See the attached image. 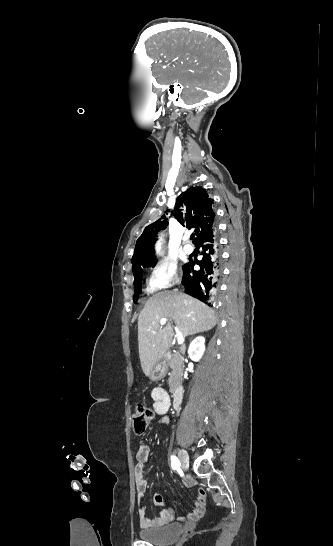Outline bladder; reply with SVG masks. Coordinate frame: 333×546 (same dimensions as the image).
Segmentation results:
<instances>
[{
  "label": "bladder",
  "instance_id": "31cf9c89",
  "mask_svg": "<svg viewBox=\"0 0 333 546\" xmlns=\"http://www.w3.org/2000/svg\"><path fill=\"white\" fill-rule=\"evenodd\" d=\"M182 532V525L174 522L158 528H143L139 531V537L143 541L163 546L176 540Z\"/></svg>",
  "mask_w": 333,
  "mask_h": 546
}]
</instances>
